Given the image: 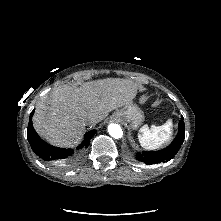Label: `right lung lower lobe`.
I'll list each match as a JSON object with an SVG mask.
<instances>
[{
	"label": "right lung lower lobe",
	"instance_id": "1",
	"mask_svg": "<svg viewBox=\"0 0 221 221\" xmlns=\"http://www.w3.org/2000/svg\"><path fill=\"white\" fill-rule=\"evenodd\" d=\"M34 111L31 112L29 118V124L27 129V137L28 141L31 145L32 150L39 157L44 160L50 162L51 164L58 165L60 167H69L74 164L76 160V156L73 155V149H63L58 147H53L46 142H44L36 133L32 125V116ZM96 133V130L89 131L84 136V141L77 149H81L83 147H88L90 144V139Z\"/></svg>",
	"mask_w": 221,
	"mask_h": 221
}]
</instances>
